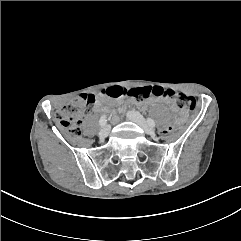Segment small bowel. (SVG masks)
<instances>
[{"instance_id": "small-bowel-1", "label": "small bowel", "mask_w": 241, "mask_h": 241, "mask_svg": "<svg viewBox=\"0 0 241 241\" xmlns=\"http://www.w3.org/2000/svg\"><path fill=\"white\" fill-rule=\"evenodd\" d=\"M154 100H155L154 98H151V99H149V102H154ZM164 102L168 105V107H169L173 112H178L177 107H176L171 101L165 100Z\"/></svg>"}]
</instances>
